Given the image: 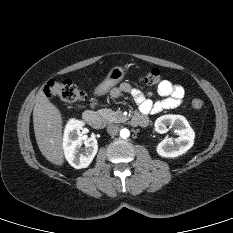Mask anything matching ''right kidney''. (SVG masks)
Segmentation results:
<instances>
[{
	"label": "right kidney",
	"mask_w": 233,
	"mask_h": 233,
	"mask_svg": "<svg viewBox=\"0 0 233 233\" xmlns=\"http://www.w3.org/2000/svg\"><path fill=\"white\" fill-rule=\"evenodd\" d=\"M84 122L71 119L65 126L63 136V149L68 163L76 168H86L90 165L98 151V143L95 138L83 141L82 127ZM85 144L82 150L81 145Z\"/></svg>",
	"instance_id": "right-kidney-1"
}]
</instances>
